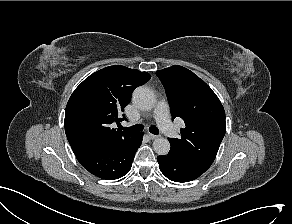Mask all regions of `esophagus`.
<instances>
[{
	"instance_id": "esophagus-1",
	"label": "esophagus",
	"mask_w": 292,
	"mask_h": 224,
	"mask_svg": "<svg viewBox=\"0 0 292 224\" xmlns=\"http://www.w3.org/2000/svg\"><path fill=\"white\" fill-rule=\"evenodd\" d=\"M148 136L150 137V139H157L159 136L152 134V133H148Z\"/></svg>"
}]
</instances>
